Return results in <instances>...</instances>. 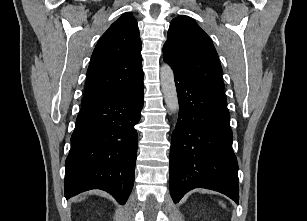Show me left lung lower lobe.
I'll use <instances>...</instances> for the list:
<instances>
[{
    "instance_id": "left-lung-lower-lobe-1",
    "label": "left lung lower lobe",
    "mask_w": 307,
    "mask_h": 221,
    "mask_svg": "<svg viewBox=\"0 0 307 221\" xmlns=\"http://www.w3.org/2000/svg\"><path fill=\"white\" fill-rule=\"evenodd\" d=\"M172 69L180 104L170 149L173 201L179 202L191 189L206 188L238 203V163L232 149L226 101L199 87L173 66Z\"/></svg>"
}]
</instances>
